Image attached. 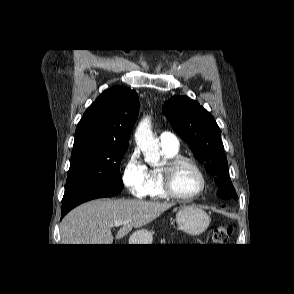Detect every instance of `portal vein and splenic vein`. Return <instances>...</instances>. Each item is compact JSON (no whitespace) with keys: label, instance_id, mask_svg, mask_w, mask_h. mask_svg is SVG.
<instances>
[{"label":"portal vein and splenic vein","instance_id":"obj_1","mask_svg":"<svg viewBox=\"0 0 294 294\" xmlns=\"http://www.w3.org/2000/svg\"><path fill=\"white\" fill-rule=\"evenodd\" d=\"M123 224V222H121V221H117V222H115L114 224H113V226H115V227H119V226H121Z\"/></svg>","mask_w":294,"mask_h":294}]
</instances>
